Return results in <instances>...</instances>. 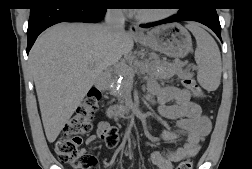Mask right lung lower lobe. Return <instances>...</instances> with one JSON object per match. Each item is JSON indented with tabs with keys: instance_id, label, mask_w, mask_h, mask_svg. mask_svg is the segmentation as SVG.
Returning <instances> with one entry per match:
<instances>
[{
	"instance_id": "1",
	"label": "right lung lower lobe",
	"mask_w": 252,
	"mask_h": 169,
	"mask_svg": "<svg viewBox=\"0 0 252 169\" xmlns=\"http://www.w3.org/2000/svg\"><path fill=\"white\" fill-rule=\"evenodd\" d=\"M108 6V2L92 0H39L30 12L27 53L46 28L60 22L96 23L104 17Z\"/></svg>"
}]
</instances>
